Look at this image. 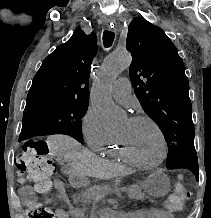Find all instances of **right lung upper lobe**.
Here are the masks:
<instances>
[{
	"label": "right lung upper lobe",
	"mask_w": 211,
	"mask_h": 218,
	"mask_svg": "<svg viewBox=\"0 0 211 218\" xmlns=\"http://www.w3.org/2000/svg\"><path fill=\"white\" fill-rule=\"evenodd\" d=\"M97 53L94 33L86 35L80 28L72 37L47 56L28 92L27 103L41 100L89 102V76Z\"/></svg>",
	"instance_id": "cb5924a9"
}]
</instances>
